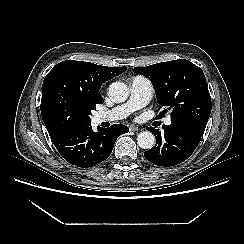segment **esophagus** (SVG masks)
<instances>
[{
    "instance_id": "1",
    "label": "esophagus",
    "mask_w": 244,
    "mask_h": 244,
    "mask_svg": "<svg viewBox=\"0 0 244 244\" xmlns=\"http://www.w3.org/2000/svg\"><path fill=\"white\" fill-rule=\"evenodd\" d=\"M129 130L130 131H139L140 129L138 127H136V126H130Z\"/></svg>"
}]
</instances>
